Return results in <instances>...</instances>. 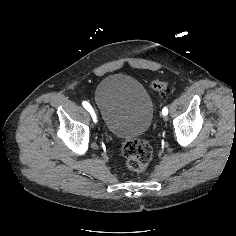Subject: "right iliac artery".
<instances>
[{
  "mask_svg": "<svg viewBox=\"0 0 236 236\" xmlns=\"http://www.w3.org/2000/svg\"><path fill=\"white\" fill-rule=\"evenodd\" d=\"M82 105L87 110V112L91 115V118H92V121H93V125L97 126L98 125V121H99L97 111L87 101H83Z\"/></svg>",
  "mask_w": 236,
  "mask_h": 236,
  "instance_id": "obj_1",
  "label": "right iliac artery"
}]
</instances>
